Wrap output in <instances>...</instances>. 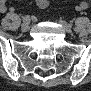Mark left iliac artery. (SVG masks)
I'll return each instance as SVG.
<instances>
[{
  "mask_svg": "<svg viewBox=\"0 0 91 91\" xmlns=\"http://www.w3.org/2000/svg\"><path fill=\"white\" fill-rule=\"evenodd\" d=\"M67 26H68L69 28H73V27H74V22H73V21L68 22V23H67Z\"/></svg>",
  "mask_w": 91,
  "mask_h": 91,
  "instance_id": "obj_1",
  "label": "left iliac artery"
}]
</instances>
